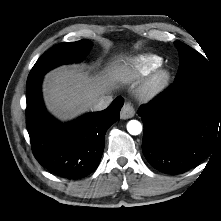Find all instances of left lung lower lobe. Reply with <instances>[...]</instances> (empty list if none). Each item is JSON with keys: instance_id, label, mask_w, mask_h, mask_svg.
Returning a JSON list of instances; mask_svg holds the SVG:
<instances>
[{"instance_id": "1", "label": "left lung lower lobe", "mask_w": 221, "mask_h": 221, "mask_svg": "<svg viewBox=\"0 0 221 221\" xmlns=\"http://www.w3.org/2000/svg\"><path fill=\"white\" fill-rule=\"evenodd\" d=\"M138 115L144 123L142 151L166 174H181L208 157L221 140V92L208 83H174Z\"/></svg>"}]
</instances>
